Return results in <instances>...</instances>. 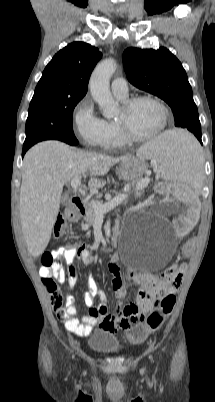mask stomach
<instances>
[{"label":"stomach","mask_w":215,"mask_h":402,"mask_svg":"<svg viewBox=\"0 0 215 402\" xmlns=\"http://www.w3.org/2000/svg\"><path fill=\"white\" fill-rule=\"evenodd\" d=\"M146 170L145 163L139 156H126L117 168L119 179L126 182L139 181Z\"/></svg>","instance_id":"obj_1"}]
</instances>
